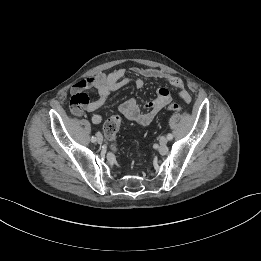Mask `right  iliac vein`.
Returning <instances> with one entry per match:
<instances>
[{
    "instance_id": "obj_1",
    "label": "right iliac vein",
    "mask_w": 261,
    "mask_h": 261,
    "mask_svg": "<svg viewBox=\"0 0 261 261\" xmlns=\"http://www.w3.org/2000/svg\"><path fill=\"white\" fill-rule=\"evenodd\" d=\"M96 141L99 143V144H102L103 142V136L101 134H98L97 135V138H96Z\"/></svg>"
}]
</instances>
